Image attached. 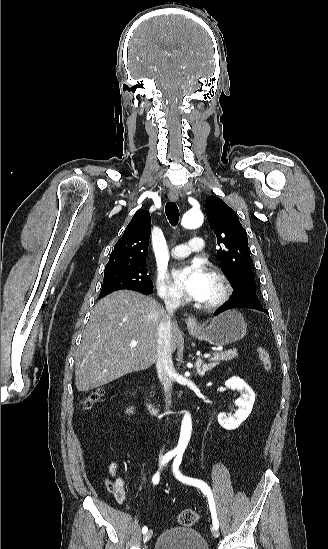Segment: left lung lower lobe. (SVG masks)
<instances>
[{
    "instance_id": "obj_1",
    "label": "left lung lower lobe",
    "mask_w": 328,
    "mask_h": 549,
    "mask_svg": "<svg viewBox=\"0 0 328 549\" xmlns=\"http://www.w3.org/2000/svg\"><path fill=\"white\" fill-rule=\"evenodd\" d=\"M233 308H253L269 315L268 311L262 307L260 301L247 302L244 300H231L230 302H228L227 304H225L224 306L216 310L214 315H218L226 310L233 309Z\"/></svg>"
}]
</instances>
